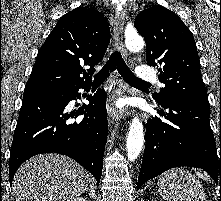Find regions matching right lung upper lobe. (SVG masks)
I'll use <instances>...</instances> for the list:
<instances>
[{
    "label": "right lung upper lobe",
    "mask_w": 221,
    "mask_h": 201,
    "mask_svg": "<svg viewBox=\"0 0 221 201\" xmlns=\"http://www.w3.org/2000/svg\"><path fill=\"white\" fill-rule=\"evenodd\" d=\"M110 42L107 18L94 8L63 15L40 48L25 89H56L91 82ZM85 66L90 68L85 70Z\"/></svg>",
    "instance_id": "right-lung-upper-lobe-1"
}]
</instances>
